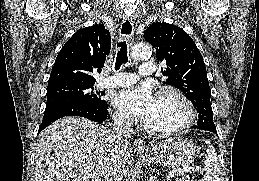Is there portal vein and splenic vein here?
Masks as SVG:
<instances>
[{"label":"portal vein and splenic vein","mask_w":259,"mask_h":181,"mask_svg":"<svg viewBox=\"0 0 259 181\" xmlns=\"http://www.w3.org/2000/svg\"><path fill=\"white\" fill-rule=\"evenodd\" d=\"M194 171H201V168L199 167H184L182 169H179L177 171H173L171 172L168 176H167V179H171V178H174V177H178V176H183L185 172H194Z\"/></svg>","instance_id":"18ae733b"}]
</instances>
